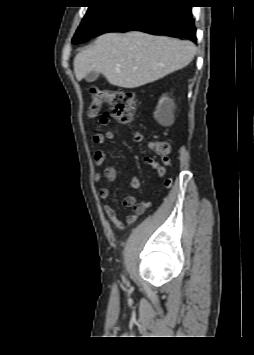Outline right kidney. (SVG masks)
Here are the masks:
<instances>
[{
  "label": "right kidney",
  "mask_w": 254,
  "mask_h": 355,
  "mask_svg": "<svg viewBox=\"0 0 254 355\" xmlns=\"http://www.w3.org/2000/svg\"><path fill=\"white\" fill-rule=\"evenodd\" d=\"M173 108H174V103L172 102V100L163 97L160 100L158 110L155 113L156 119L160 123H164L165 121L169 120L173 115Z\"/></svg>",
  "instance_id": "1"
}]
</instances>
